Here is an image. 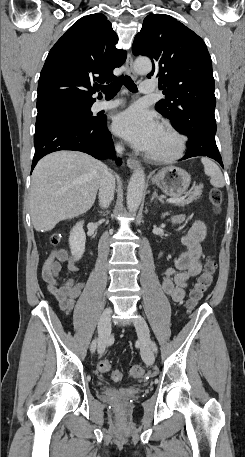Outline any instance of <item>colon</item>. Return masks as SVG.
<instances>
[{
  "mask_svg": "<svg viewBox=\"0 0 245 457\" xmlns=\"http://www.w3.org/2000/svg\"><path fill=\"white\" fill-rule=\"evenodd\" d=\"M210 201L214 207L215 212H219V207L222 202V194L219 190L214 189L210 193ZM61 239L59 233L52 234L50 242L52 244H57ZM216 263L214 260L209 259L204 267V270L199 275L196 283L190 291L189 298L187 301V307L189 310L194 308L196 304L204 297L205 293L208 291L212 285L214 274L216 271ZM98 369L101 372H109L111 370V361L108 359H102L98 363ZM128 373L130 377L134 379H140L143 377L145 370L142 364H134L130 366ZM122 378V372L119 370L111 371V379L113 381H119Z\"/></svg>",
  "mask_w": 245,
  "mask_h": 457,
  "instance_id": "5ec220e1",
  "label": "colon"
}]
</instances>
